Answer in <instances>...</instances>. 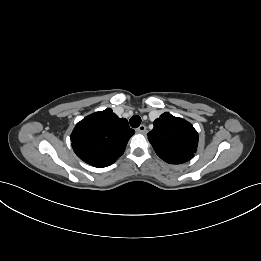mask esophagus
I'll return each mask as SVG.
<instances>
[{"mask_svg":"<svg viewBox=\"0 0 261 261\" xmlns=\"http://www.w3.org/2000/svg\"><path fill=\"white\" fill-rule=\"evenodd\" d=\"M137 133H141V134H145L146 133V126L144 124L140 125L137 129H136Z\"/></svg>","mask_w":261,"mask_h":261,"instance_id":"esophagus-1","label":"esophagus"}]
</instances>
